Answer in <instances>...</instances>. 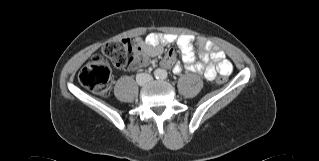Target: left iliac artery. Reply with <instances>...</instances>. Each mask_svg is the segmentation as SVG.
<instances>
[{
    "mask_svg": "<svg viewBox=\"0 0 319 161\" xmlns=\"http://www.w3.org/2000/svg\"><path fill=\"white\" fill-rule=\"evenodd\" d=\"M167 77H168L167 72L166 71H162L161 75H160V78L165 80V79H167Z\"/></svg>",
    "mask_w": 319,
    "mask_h": 161,
    "instance_id": "44dca946",
    "label": "left iliac artery"
}]
</instances>
